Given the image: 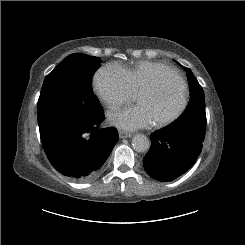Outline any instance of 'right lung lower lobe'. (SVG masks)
<instances>
[{"label":"right lung lower lobe","mask_w":245,"mask_h":245,"mask_svg":"<svg viewBox=\"0 0 245 245\" xmlns=\"http://www.w3.org/2000/svg\"><path fill=\"white\" fill-rule=\"evenodd\" d=\"M103 120L102 112L85 123L58 126L40 136L52 166L77 181L96 177L118 141L116 129H99Z\"/></svg>","instance_id":"1"}]
</instances>
